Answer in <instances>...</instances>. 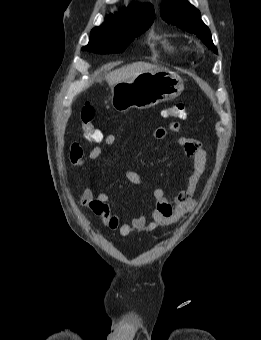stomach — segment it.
Here are the masks:
<instances>
[{
  "label": "stomach",
  "instance_id": "obj_1",
  "mask_svg": "<svg viewBox=\"0 0 261 340\" xmlns=\"http://www.w3.org/2000/svg\"><path fill=\"white\" fill-rule=\"evenodd\" d=\"M184 89L182 79L169 70L147 71L119 82L111 88V105L119 112L147 109L171 100Z\"/></svg>",
  "mask_w": 261,
  "mask_h": 340
}]
</instances>
